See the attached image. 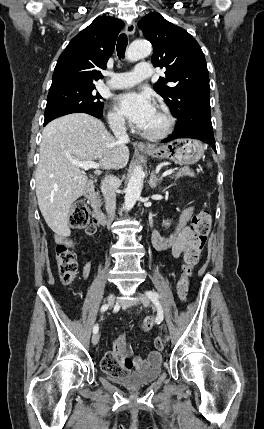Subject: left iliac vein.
Returning a JSON list of instances; mask_svg holds the SVG:
<instances>
[{
  "label": "left iliac vein",
  "mask_w": 264,
  "mask_h": 429,
  "mask_svg": "<svg viewBox=\"0 0 264 429\" xmlns=\"http://www.w3.org/2000/svg\"><path fill=\"white\" fill-rule=\"evenodd\" d=\"M136 295L138 296L140 302L145 306L148 307L150 304L149 299L142 293L137 292ZM165 342H170V334L167 332L165 334Z\"/></svg>",
  "instance_id": "1"
}]
</instances>
